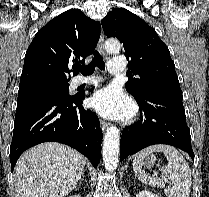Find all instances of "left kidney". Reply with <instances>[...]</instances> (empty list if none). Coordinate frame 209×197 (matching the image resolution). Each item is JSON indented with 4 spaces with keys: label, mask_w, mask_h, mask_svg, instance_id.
I'll list each match as a JSON object with an SVG mask.
<instances>
[{
    "label": "left kidney",
    "mask_w": 209,
    "mask_h": 197,
    "mask_svg": "<svg viewBox=\"0 0 209 197\" xmlns=\"http://www.w3.org/2000/svg\"><path fill=\"white\" fill-rule=\"evenodd\" d=\"M136 197H159L157 194H154L150 191L143 190L136 195Z\"/></svg>",
    "instance_id": "1"
}]
</instances>
